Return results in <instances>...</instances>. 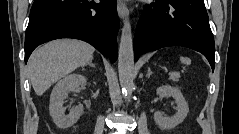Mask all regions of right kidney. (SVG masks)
<instances>
[{
  "mask_svg": "<svg viewBox=\"0 0 239 134\" xmlns=\"http://www.w3.org/2000/svg\"><path fill=\"white\" fill-rule=\"evenodd\" d=\"M87 79L81 74H70L60 80L52 90L49 111L54 123L59 128H68L74 125L83 113V106H76L68 115H65L63 103L70 92H77L80 85H86Z\"/></svg>",
  "mask_w": 239,
  "mask_h": 134,
  "instance_id": "right-kidney-1",
  "label": "right kidney"
}]
</instances>
